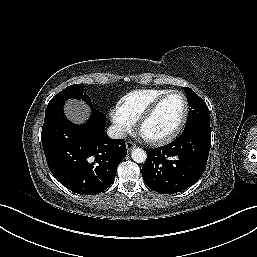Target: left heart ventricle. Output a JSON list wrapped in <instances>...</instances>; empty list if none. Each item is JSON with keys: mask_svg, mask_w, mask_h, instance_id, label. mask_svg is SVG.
Instances as JSON below:
<instances>
[{"mask_svg": "<svg viewBox=\"0 0 257 257\" xmlns=\"http://www.w3.org/2000/svg\"><path fill=\"white\" fill-rule=\"evenodd\" d=\"M184 110V101L179 94L169 96L146 121L142 132L146 137L157 138L169 134L178 125Z\"/></svg>", "mask_w": 257, "mask_h": 257, "instance_id": "obj_1", "label": "left heart ventricle"}]
</instances>
